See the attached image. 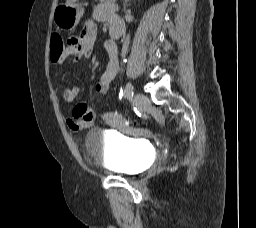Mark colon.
<instances>
[{"label":"colon","mask_w":256,"mask_h":228,"mask_svg":"<svg viewBox=\"0 0 256 228\" xmlns=\"http://www.w3.org/2000/svg\"><path fill=\"white\" fill-rule=\"evenodd\" d=\"M64 50V43L61 36L57 33L51 36L50 42V58L56 60ZM102 122L109 126H127L131 121L123 115L116 112H106L101 115Z\"/></svg>","instance_id":"colon-1"}]
</instances>
